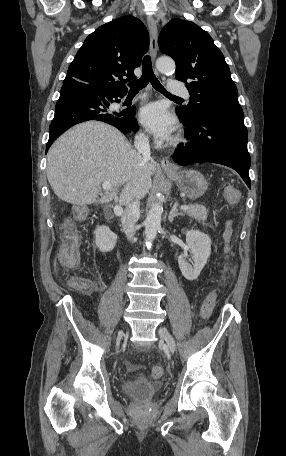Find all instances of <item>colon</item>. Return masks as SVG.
<instances>
[{"label": "colon", "instance_id": "5ec220e1", "mask_svg": "<svg viewBox=\"0 0 286 456\" xmlns=\"http://www.w3.org/2000/svg\"><path fill=\"white\" fill-rule=\"evenodd\" d=\"M225 196L229 203L235 204L238 202L239 193L238 190L233 186H226L224 188ZM77 214V212H76ZM80 239L75 230L72 222H67L64 227L63 243L58 254L59 265L64 270H71L78 266L80 260ZM225 271L231 275L235 273L234 267H227ZM67 283L78 290L87 291L93 287V283L90 279L81 276H70L66 278ZM216 302V293L210 292L204 299L201 306V318L207 319L211 315ZM128 369L133 371L135 367L131 364L128 365ZM164 375V369L160 365H155L151 370V376L153 379H160Z\"/></svg>", "mask_w": 286, "mask_h": 456}]
</instances>
